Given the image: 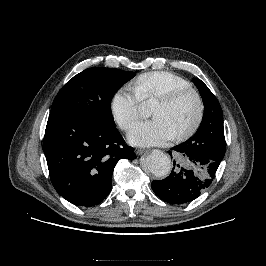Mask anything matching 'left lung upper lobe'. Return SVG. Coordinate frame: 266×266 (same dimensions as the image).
Wrapping results in <instances>:
<instances>
[{"mask_svg":"<svg viewBox=\"0 0 266 266\" xmlns=\"http://www.w3.org/2000/svg\"><path fill=\"white\" fill-rule=\"evenodd\" d=\"M193 82L202 97L204 115L195 135L182 143V145L189 151L221 162L225 154L223 112L221 106L214 94L201 80L194 78Z\"/></svg>","mask_w":266,"mask_h":266,"instance_id":"obj_1","label":"left lung upper lobe"}]
</instances>
